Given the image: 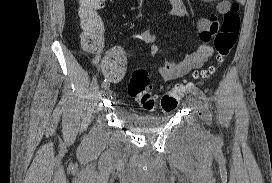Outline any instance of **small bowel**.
<instances>
[{
    "instance_id": "1",
    "label": "small bowel",
    "mask_w": 272,
    "mask_h": 183,
    "mask_svg": "<svg viewBox=\"0 0 272 183\" xmlns=\"http://www.w3.org/2000/svg\"><path fill=\"white\" fill-rule=\"evenodd\" d=\"M205 2H214L215 0H203ZM242 2L244 0H241ZM172 6V13L175 16L188 18L189 11L185 5L184 0H170ZM229 9V1L222 0L217 5L219 13L224 14ZM218 23V17L216 14H212L209 18L201 19L198 22V29L200 31L201 38L197 39L199 44L192 53L188 54L184 59L179 62L172 60H165L159 67L158 71L164 81H171L181 78L188 74L190 71L201 68L209 57L213 53L212 47L208 43H212V39H215V31L219 30V25H213ZM140 39L150 45V50L153 55L160 53L161 48L155 44L157 36L150 31H144L140 35ZM113 58L107 64L101 65L104 76L112 81H119L126 70V56L124 50L121 47H114L107 52Z\"/></svg>"
}]
</instances>
